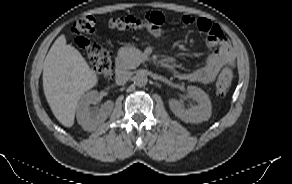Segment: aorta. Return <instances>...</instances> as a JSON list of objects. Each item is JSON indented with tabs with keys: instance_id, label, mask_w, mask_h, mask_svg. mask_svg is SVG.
<instances>
[{
	"instance_id": "1",
	"label": "aorta",
	"mask_w": 292,
	"mask_h": 184,
	"mask_svg": "<svg viewBox=\"0 0 292 184\" xmlns=\"http://www.w3.org/2000/svg\"><path fill=\"white\" fill-rule=\"evenodd\" d=\"M133 81L136 86L143 87L147 84L148 77L144 72L140 71L134 76Z\"/></svg>"
}]
</instances>
